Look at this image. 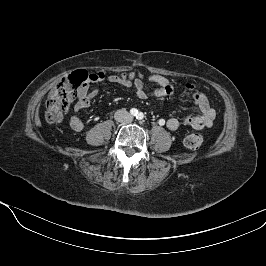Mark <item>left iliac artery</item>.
<instances>
[{
	"mask_svg": "<svg viewBox=\"0 0 266 266\" xmlns=\"http://www.w3.org/2000/svg\"><path fill=\"white\" fill-rule=\"evenodd\" d=\"M138 120H142L144 118V114L142 112L138 113L137 117Z\"/></svg>",
	"mask_w": 266,
	"mask_h": 266,
	"instance_id": "left-iliac-artery-1",
	"label": "left iliac artery"
}]
</instances>
